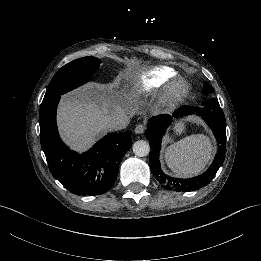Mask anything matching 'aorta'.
<instances>
[{
  "label": "aorta",
  "mask_w": 261,
  "mask_h": 261,
  "mask_svg": "<svg viewBox=\"0 0 261 261\" xmlns=\"http://www.w3.org/2000/svg\"><path fill=\"white\" fill-rule=\"evenodd\" d=\"M133 152L138 157H145L150 152V146L144 140L136 141L133 144Z\"/></svg>",
  "instance_id": "762f6f07"
}]
</instances>
